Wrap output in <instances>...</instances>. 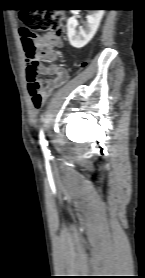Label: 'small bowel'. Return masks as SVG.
Returning a JSON list of instances; mask_svg holds the SVG:
<instances>
[{
  "mask_svg": "<svg viewBox=\"0 0 145 278\" xmlns=\"http://www.w3.org/2000/svg\"><path fill=\"white\" fill-rule=\"evenodd\" d=\"M36 40L40 45H53L56 48H61L63 46L61 37L50 33L41 34L36 37ZM28 64L29 63H27V67ZM36 70L44 76L52 77L45 83H40L42 86V93L45 95H50L56 88L63 85L69 77L65 67L55 64L45 65L43 63H39Z\"/></svg>",
  "mask_w": 145,
  "mask_h": 278,
  "instance_id": "small-bowel-1",
  "label": "small bowel"
}]
</instances>
